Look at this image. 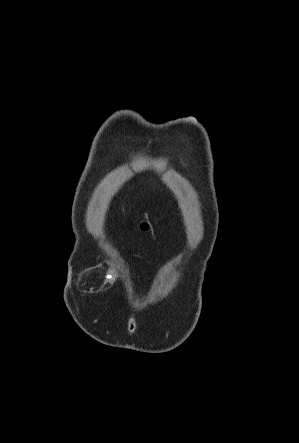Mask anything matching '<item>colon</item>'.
<instances>
[{
	"label": "colon",
	"mask_w": 299,
	"mask_h": 443,
	"mask_svg": "<svg viewBox=\"0 0 299 443\" xmlns=\"http://www.w3.org/2000/svg\"><path fill=\"white\" fill-rule=\"evenodd\" d=\"M140 226L143 230H147L149 228V224L146 221H143Z\"/></svg>",
	"instance_id": "5ec220e1"
}]
</instances>
